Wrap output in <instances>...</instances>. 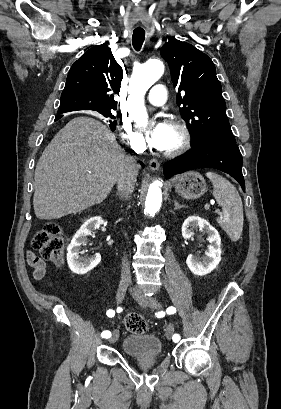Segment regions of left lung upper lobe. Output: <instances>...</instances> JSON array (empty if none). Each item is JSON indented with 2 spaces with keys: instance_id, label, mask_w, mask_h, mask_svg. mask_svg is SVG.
<instances>
[{
  "instance_id": "1",
  "label": "left lung upper lobe",
  "mask_w": 281,
  "mask_h": 409,
  "mask_svg": "<svg viewBox=\"0 0 281 409\" xmlns=\"http://www.w3.org/2000/svg\"><path fill=\"white\" fill-rule=\"evenodd\" d=\"M161 56L168 62L172 82L178 87L177 104L183 106L180 113L192 144L204 140L236 143L212 60L191 44L178 40L166 43Z\"/></svg>"
}]
</instances>
